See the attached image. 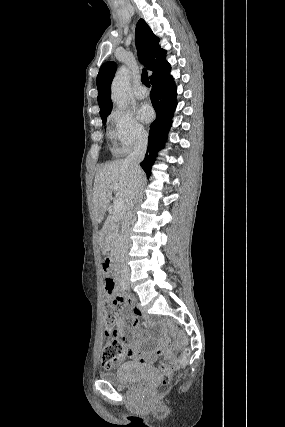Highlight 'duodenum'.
Wrapping results in <instances>:
<instances>
[{"mask_svg":"<svg viewBox=\"0 0 285 427\" xmlns=\"http://www.w3.org/2000/svg\"><path fill=\"white\" fill-rule=\"evenodd\" d=\"M114 229H115V226H114V225H110V226H108V227H102V228L99 230V242H100L102 245H105V244H106V240H105L106 232H107V231H113Z\"/></svg>","mask_w":285,"mask_h":427,"instance_id":"duodenum-1","label":"duodenum"}]
</instances>
